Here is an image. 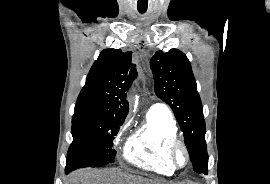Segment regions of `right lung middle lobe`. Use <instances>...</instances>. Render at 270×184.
<instances>
[{"mask_svg": "<svg viewBox=\"0 0 270 184\" xmlns=\"http://www.w3.org/2000/svg\"><path fill=\"white\" fill-rule=\"evenodd\" d=\"M124 120L99 115L92 107L76 104L72 117L73 142L68 150L66 172L79 167H100L114 161L112 148Z\"/></svg>", "mask_w": 270, "mask_h": 184, "instance_id": "1", "label": "right lung middle lobe"}]
</instances>
